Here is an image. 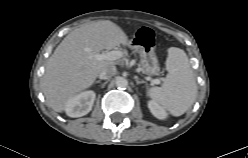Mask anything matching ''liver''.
<instances>
[{
	"label": "liver",
	"mask_w": 248,
	"mask_h": 158,
	"mask_svg": "<svg viewBox=\"0 0 248 158\" xmlns=\"http://www.w3.org/2000/svg\"><path fill=\"white\" fill-rule=\"evenodd\" d=\"M121 44L126 46L128 38L109 20L84 24L71 31L49 58L41 80L48 105L56 112L65 110L69 99L89 88L104 68L115 65L114 61L95 59L94 54Z\"/></svg>",
	"instance_id": "6515ba94"
}]
</instances>
